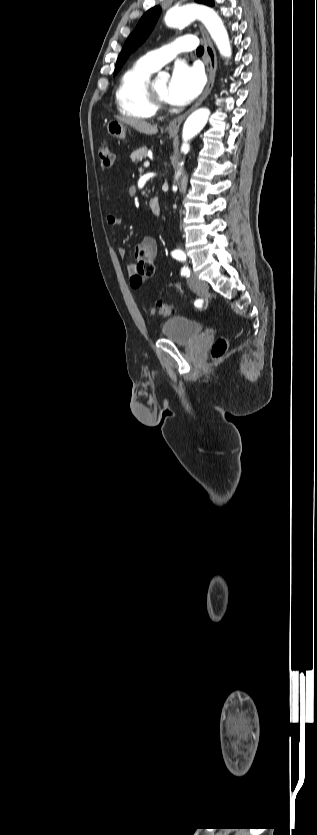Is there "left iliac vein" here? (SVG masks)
<instances>
[{
	"mask_svg": "<svg viewBox=\"0 0 317 835\" xmlns=\"http://www.w3.org/2000/svg\"><path fill=\"white\" fill-rule=\"evenodd\" d=\"M187 283L190 289L197 294H204L208 290V284L194 274L187 279Z\"/></svg>",
	"mask_w": 317,
	"mask_h": 835,
	"instance_id": "4c4485c4",
	"label": "left iliac vein"
}]
</instances>
